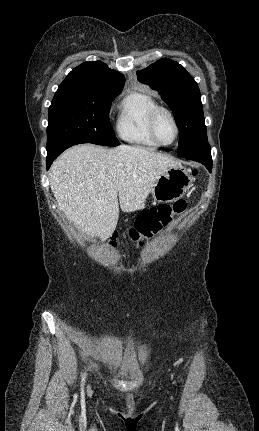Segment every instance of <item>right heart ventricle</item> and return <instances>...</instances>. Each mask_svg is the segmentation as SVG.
Instances as JSON below:
<instances>
[{
    "label": "right heart ventricle",
    "instance_id": "1",
    "mask_svg": "<svg viewBox=\"0 0 259 431\" xmlns=\"http://www.w3.org/2000/svg\"><path fill=\"white\" fill-rule=\"evenodd\" d=\"M153 96L142 92L127 94L118 105L116 130L126 142L156 148L159 145L153 140L149 132L148 117L151 110L157 106Z\"/></svg>",
    "mask_w": 259,
    "mask_h": 431
}]
</instances>
